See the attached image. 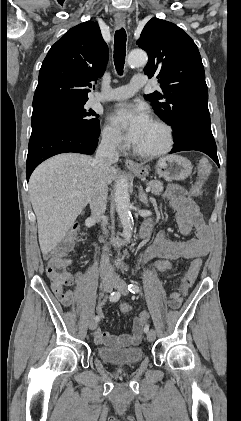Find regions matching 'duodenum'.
Here are the masks:
<instances>
[{
	"instance_id": "obj_1",
	"label": "duodenum",
	"mask_w": 241,
	"mask_h": 421,
	"mask_svg": "<svg viewBox=\"0 0 241 421\" xmlns=\"http://www.w3.org/2000/svg\"><path fill=\"white\" fill-rule=\"evenodd\" d=\"M151 231V222H146L141 229L142 238H147Z\"/></svg>"
}]
</instances>
